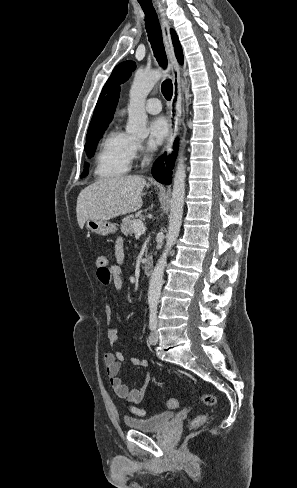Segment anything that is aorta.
<instances>
[{
    "mask_svg": "<svg viewBox=\"0 0 297 488\" xmlns=\"http://www.w3.org/2000/svg\"><path fill=\"white\" fill-rule=\"evenodd\" d=\"M163 77V71L152 70L150 72L138 71L135 74L129 94L128 113L129 118L126 131L134 136L144 137L147 135V114L145 112L146 97L153 86ZM184 143V140L182 141ZM184 156L180 152L178 165L173 181V191L171 198V212L169 215L168 233L164 250L152 272L149 281L148 304L156 307L159 301L161 288L163 285L164 269L167 256L178 237L185 199V167Z\"/></svg>",
    "mask_w": 297,
    "mask_h": 488,
    "instance_id": "aorta-1",
    "label": "aorta"
}]
</instances>
